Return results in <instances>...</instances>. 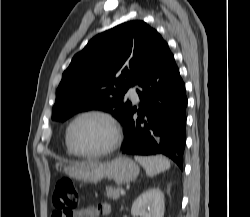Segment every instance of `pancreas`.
I'll list each match as a JSON object with an SVG mask.
<instances>
[{"mask_svg":"<svg viewBox=\"0 0 250 217\" xmlns=\"http://www.w3.org/2000/svg\"><path fill=\"white\" fill-rule=\"evenodd\" d=\"M121 190H123L121 187H107L106 188V197L113 199V200H117L120 197V192Z\"/></svg>","mask_w":250,"mask_h":217,"instance_id":"pancreas-1","label":"pancreas"}]
</instances>
